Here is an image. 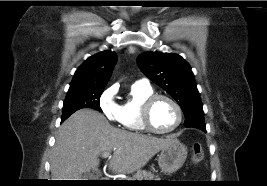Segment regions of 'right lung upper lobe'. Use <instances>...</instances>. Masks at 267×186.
<instances>
[{"label":"right lung upper lobe","mask_w":267,"mask_h":186,"mask_svg":"<svg viewBox=\"0 0 267 186\" xmlns=\"http://www.w3.org/2000/svg\"><path fill=\"white\" fill-rule=\"evenodd\" d=\"M116 61V53L109 50L90 56L76 70L69 90L104 89Z\"/></svg>","instance_id":"cb5924a9"}]
</instances>
